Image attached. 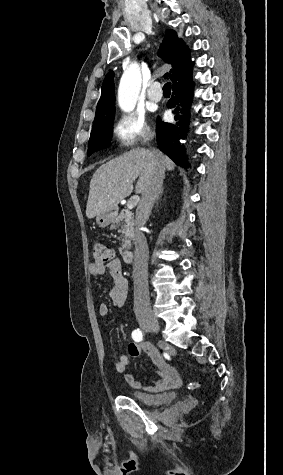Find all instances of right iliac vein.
Instances as JSON below:
<instances>
[{
  "mask_svg": "<svg viewBox=\"0 0 283 475\" xmlns=\"http://www.w3.org/2000/svg\"><path fill=\"white\" fill-rule=\"evenodd\" d=\"M139 323L148 331H158L159 323L157 317L153 313H146L140 319Z\"/></svg>",
  "mask_w": 283,
  "mask_h": 475,
  "instance_id": "obj_1",
  "label": "right iliac vein"
}]
</instances>
